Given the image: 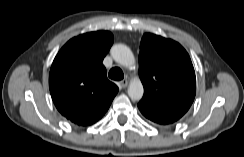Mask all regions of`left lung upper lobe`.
Returning a JSON list of instances; mask_svg holds the SVG:
<instances>
[{
  "mask_svg": "<svg viewBox=\"0 0 244 157\" xmlns=\"http://www.w3.org/2000/svg\"><path fill=\"white\" fill-rule=\"evenodd\" d=\"M139 76L144 95L138 108L147 119L167 125L188 111L196 94V77L190 57L179 43L144 34L140 44Z\"/></svg>",
  "mask_w": 244,
  "mask_h": 157,
  "instance_id": "obj_1",
  "label": "left lung upper lobe"
}]
</instances>
